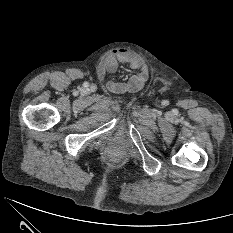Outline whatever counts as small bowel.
Segmentation results:
<instances>
[{"label": "small bowel", "mask_w": 233, "mask_h": 233, "mask_svg": "<svg viewBox=\"0 0 233 233\" xmlns=\"http://www.w3.org/2000/svg\"><path fill=\"white\" fill-rule=\"evenodd\" d=\"M120 63L129 66L136 73L126 82L107 81V89L115 94L133 93L142 89L149 77L148 67L139 56L127 49L112 51L100 64L99 76L103 79L107 78L116 71Z\"/></svg>", "instance_id": "obj_1"}]
</instances>
